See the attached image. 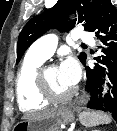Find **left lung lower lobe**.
<instances>
[{
  "instance_id": "0a47b994",
  "label": "left lung lower lobe",
  "mask_w": 117,
  "mask_h": 131,
  "mask_svg": "<svg viewBox=\"0 0 117 131\" xmlns=\"http://www.w3.org/2000/svg\"><path fill=\"white\" fill-rule=\"evenodd\" d=\"M93 32L102 45L100 48L103 53L96 60L105 67L99 64L94 68L86 67V88L91 94L87 107L110 113L117 122V10L111 1L104 8ZM83 64L85 65V62ZM105 74L110 80V92L102 99V78Z\"/></svg>"
}]
</instances>
